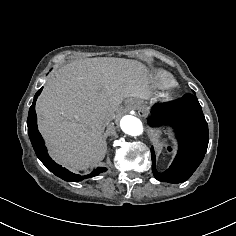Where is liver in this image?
Here are the masks:
<instances>
[{
  "instance_id": "liver-1",
  "label": "liver",
  "mask_w": 236,
  "mask_h": 236,
  "mask_svg": "<svg viewBox=\"0 0 236 236\" xmlns=\"http://www.w3.org/2000/svg\"><path fill=\"white\" fill-rule=\"evenodd\" d=\"M147 75L137 61L106 57L76 60L55 71L36 106L54 159L73 171L102 161L105 119H112L124 98L148 96Z\"/></svg>"
}]
</instances>
